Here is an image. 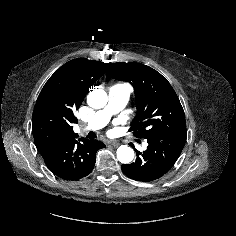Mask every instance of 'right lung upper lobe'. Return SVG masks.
I'll use <instances>...</instances> for the list:
<instances>
[{
  "label": "right lung upper lobe",
  "mask_w": 236,
  "mask_h": 236,
  "mask_svg": "<svg viewBox=\"0 0 236 236\" xmlns=\"http://www.w3.org/2000/svg\"><path fill=\"white\" fill-rule=\"evenodd\" d=\"M111 63L86 58L73 59L61 66L46 82L32 115L35 145L44 142H69L77 138L74 111L81 105L93 83Z\"/></svg>",
  "instance_id": "cb5924a9"
}]
</instances>
